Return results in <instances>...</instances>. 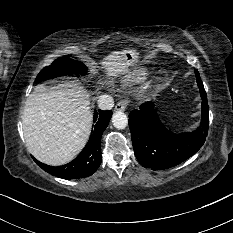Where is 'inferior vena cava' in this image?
<instances>
[{
	"instance_id": "1",
	"label": "inferior vena cava",
	"mask_w": 233,
	"mask_h": 233,
	"mask_svg": "<svg viewBox=\"0 0 233 233\" xmlns=\"http://www.w3.org/2000/svg\"><path fill=\"white\" fill-rule=\"evenodd\" d=\"M97 103H98V107L102 110H110L114 106L113 98L106 94L99 96Z\"/></svg>"
}]
</instances>
